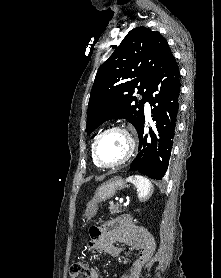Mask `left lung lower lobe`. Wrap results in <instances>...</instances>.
<instances>
[{"label":"left lung lower lobe","instance_id":"obj_1","mask_svg":"<svg viewBox=\"0 0 221 278\" xmlns=\"http://www.w3.org/2000/svg\"><path fill=\"white\" fill-rule=\"evenodd\" d=\"M180 73L174 57L166 70L152 85L145 102L152 106V120L155 131L150 128L151 139L144 134V121L141 120L137 133L139 136L138 155L133 160L130 171H137L152 179L161 180L169 164L173 138L179 113Z\"/></svg>","mask_w":221,"mask_h":278}]
</instances>
